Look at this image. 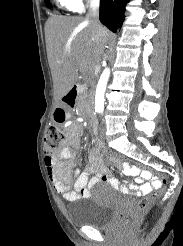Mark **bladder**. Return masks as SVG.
<instances>
[{
  "mask_svg": "<svg viewBox=\"0 0 183 246\" xmlns=\"http://www.w3.org/2000/svg\"><path fill=\"white\" fill-rule=\"evenodd\" d=\"M117 206L114 190L105 184H98L83 204L67 210V216L75 226L103 228L111 223Z\"/></svg>",
  "mask_w": 183,
  "mask_h": 246,
  "instance_id": "31cf9c89",
  "label": "bladder"
}]
</instances>
